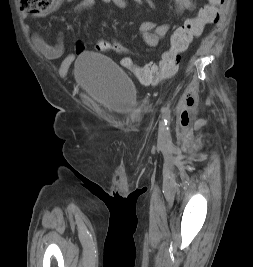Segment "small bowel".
<instances>
[{
    "instance_id": "obj_1",
    "label": "small bowel",
    "mask_w": 253,
    "mask_h": 267,
    "mask_svg": "<svg viewBox=\"0 0 253 267\" xmlns=\"http://www.w3.org/2000/svg\"><path fill=\"white\" fill-rule=\"evenodd\" d=\"M63 1L72 3L75 0H57V5ZM106 4L114 5L119 8H125L128 5V0H102ZM96 0H80L74 6V11L77 13L83 12L94 7ZM174 11L176 14H181L185 11L194 9L193 0H173ZM140 30L143 34L145 43L150 47H156L159 41L164 38L171 30L170 23L155 24L152 21L145 20L140 25ZM33 43L37 50L47 59L56 60L64 55V43L61 35L58 37L55 44H49L39 33H34ZM85 46L82 42H78L75 46V53L66 55L61 63L60 69L67 70L75 60L76 54L83 52Z\"/></svg>"
}]
</instances>
